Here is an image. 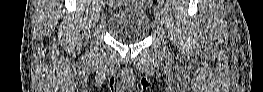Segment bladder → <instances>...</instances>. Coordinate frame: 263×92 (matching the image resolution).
Returning a JSON list of instances; mask_svg holds the SVG:
<instances>
[{
  "label": "bladder",
  "mask_w": 263,
  "mask_h": 92,
  "mask_svg": "<svg viewBox=\"0 0 263 92\" xmlns=\"http://www.w3.org/2000/svg\"><path fill=\"white\" fill-rule=\"evenodd\" d=\"M130 6L120 8L107 19L109 34L120 42H138L149 32V25L144 9L138 1L127 2Z\"/></svg>",
  "instance_id": "31cf9c89"
}]
</instances>
